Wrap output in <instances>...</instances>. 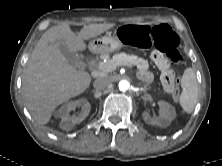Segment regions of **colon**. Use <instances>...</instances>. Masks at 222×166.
I'll list each match as a JSON object with an SVG mask.
<instances>
[{"label": "colon", "mask_w": 222, "mask_h": 166, "mask_svg": "<svg viewBox=\"0 0 222 166\" xmlns=\"http://www.w3.org/2000/svg\"><path fill=\"white\" fill-rule=\"evenodd\" d=\"M118 36L125 44L139 48L154 46L171 61L176 63L183 61V57L179 51V37L167 24H158L155 26L127 25L119 29ZM162 82L165 89L172 92L173 98L178 100L180 96L179 81L167 61L162 73Z\"/></svg>", "instance_id": "1"}]
</instances>
